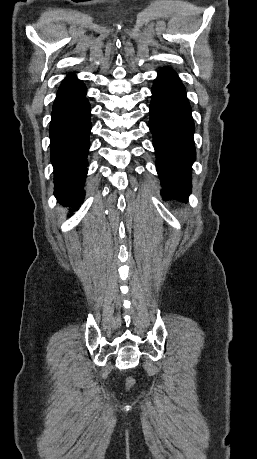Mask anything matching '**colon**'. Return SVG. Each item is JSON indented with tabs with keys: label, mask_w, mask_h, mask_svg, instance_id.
Returning <instances> with one entry per match:
<instances>
[{
	"label": "colon",
	"mask_w": 257,
	"mask_h": 459,
	"mask_svg": "<svg viewBox=\"0 0 257 459\" xmlns=\"http://www.w3.org/2000/svg\"><path fill=\"white\" fill-rule=\"evenodd\" d=\"M134 384H135V381H134L133 378L128 377V378L126 379V387H127L128 389L132 388V387L134 386Z\"/></svg>",
	"instance_id": "1"
}]
</instances>
